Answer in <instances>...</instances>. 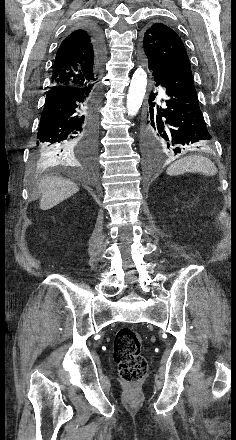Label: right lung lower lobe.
Here are the masks:
<instances>
[{
    "label": "right lung lower lobe",
    "instance_id": "1",
    "mask_svg": "<svg viewBox=\"0 0 236 440\" xmlns=\"http://www.w3.org/2000/svg\"><path fill=\"white\" fill-rule=\"evenodd\" d=\"M91 36L100 74L106 47L101 30L93 25L83 26ZM100 79L79 86H61L47 91L40 119L35 154L46 161H62L92 168L97 155L98 123L97 111L100 101ZM77 144L73 154L71 146Z\"/></svg>",
    "mask_w": 236,
    "mask_h": 440
}]
</instances>
